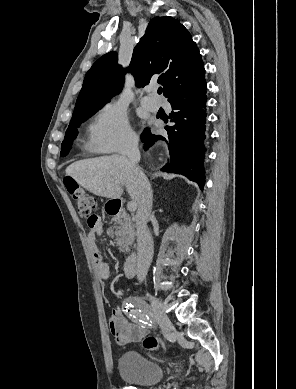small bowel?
I'll return each instance as SVG.
<instances>
[{"mask_svg":"<svg viewBox=\"0 0 296 389\" xmlns=\"http://www.w3.org/2000/svg\"><path fill=\"white\" fill-rule=\"evenodd\" d=\"M89 224V223H88ZM88 244L92 256L95 260L99 276L106 280L110 272L107 263L96 245V237L102 233V221L99 216H95V221L89 224ZM134 276V275H133ZM133 276L128 278H133ZM110 328L119 344L137 343L147 335V328L140 323H132L126 318L121 310L115 309L110 317Z\"/></svg>","mask_w":296,"mask_h":389,"instance_id":"small-bowel-1","label":"small bowel"}]
</instances>
